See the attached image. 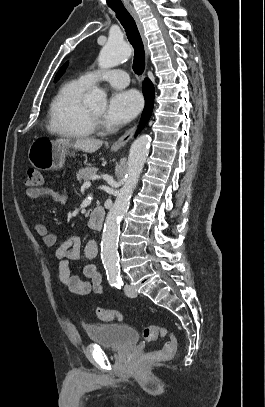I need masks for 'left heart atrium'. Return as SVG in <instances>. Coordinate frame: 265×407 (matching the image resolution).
<instances>
[{
  "mask_svg": "<svg viewBox=\"0 0 265 407\" xmlns=\"http://www.w3.org/2000/svg\"><path fill=\"white\" fill-rule=\"evenodd\" d=\"M141 108L142 99L136 91L115 92L109 99L105 118L112 124H125L132 120Z\"/></svg>",
  "mask_w": 265,
  "mask_h": 407,
  "instance_id": "obj_1",
  "label": "left heart atrium"
}]
</instances>
